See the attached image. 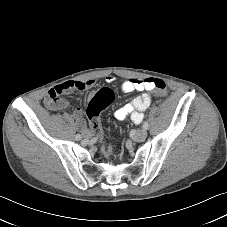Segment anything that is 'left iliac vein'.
Segmentation results:
<instances>
[{"mask_svg":"<svg viewBox=\"0 0 227 227\" xmlns=\"http://www.w3.org/2000/svg\"><path fill=\"white\" fill-rule=\"evenodd\" d=\"M147 137V131L146 129H140L137 131L136 135H135V139L136 141H144Z\"/></svg>","mask_w":227,"mask_h":227,"instance_id":"4c4485c4","label":"left iliac vein"}]
</instances>
